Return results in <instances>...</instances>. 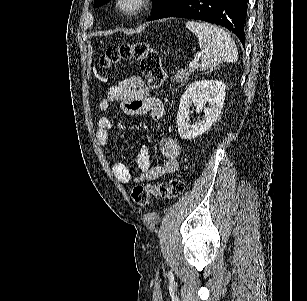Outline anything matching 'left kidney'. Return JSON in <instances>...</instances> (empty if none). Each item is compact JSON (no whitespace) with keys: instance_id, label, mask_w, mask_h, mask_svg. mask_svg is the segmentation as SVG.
Masks as SVG:
<instances>
[{"instance_id":"1","label":"left kidney","mask_w":307,"mask_h":301,"mask_svg":"<svg viewBox=\"0 0 307 301\" xmlns=\"http://www.w3.org/2000/svg\"><path fill=\"white\" fill-rule=\"evenodd\" d=\"M225 84L222 80H194L180 98L177 112L178 132L181 138H196L206 132L219 116L225 100ZM206 102L209 106L205 108ZM204 112V120L190 124V106Z\"/></svg>"}]
</instances>
